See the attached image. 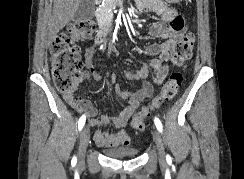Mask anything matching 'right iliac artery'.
Wrapping results in <instances>:
<instances>
[{
	"mask_svg": "<svg viewBox=\"0 0 244 179\" xmlns=\"http://www.w3.org/2000/svg\"><path fill=\"white\" fill-rule=\"evenodd\" d=\"M85 121H86V117H85V115H82L81 118L79 119V122H78L79 131L83 128ZM72 160H76V157H73Z\"/></svg>",
	"mask_w": 244,
	"mask_h": 179,
	"instance_id": "1",
	"label": "right iliac artery"
}]
</instances>
